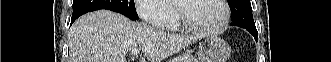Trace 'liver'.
I'll list each match as a JSON object with an SVG mask.
<instances>
[{"label":"liver","mask_w":331,"mask_h":62,"mask_svg":"<svg viewBox=\"0 0 331 62\" xmlns=\"http://www.w3.org/2000/svg\"><path fill=\"white\" fill-rule=\"evenodd\" d=\"M200 38L163 32L99 10L74 22L69 33V62H126L125 56L133 48L142 49L149 62H162Z\"/></svg>","instance_id":"liver-1"}]
</instances>
